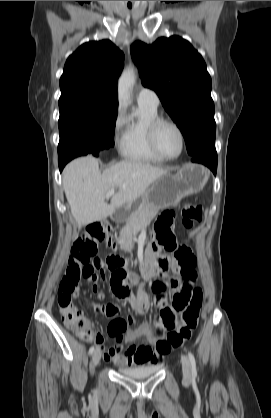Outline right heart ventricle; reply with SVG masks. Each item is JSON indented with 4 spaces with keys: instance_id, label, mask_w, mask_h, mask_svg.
<instances>
[{
    "instance_id": "obj_1",
    "label": "right heart ventricle",
    "mask_w": 271,
    "mask_h": 418,
    "mask_svg": "<svg viewBox=\"0 0 271 418\" xmlns=\"http://www.w3.org/2000/svg\"><path fill=\"white\" fill-rule=\"evenodd\" d=\"M158 117L157 107L138 103L133 116L125 121L120 142V152L124 158L146 163L165 161L152 150L148 139L149 126Z\"/></svg>"
}]
</instances>
